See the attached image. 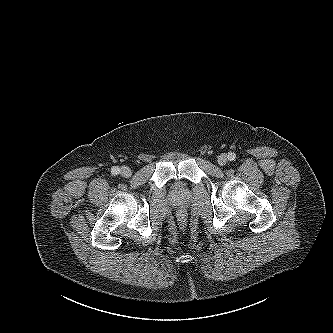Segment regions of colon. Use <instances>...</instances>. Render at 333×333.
<instances>
[{"mask_svg":"<svg viewBox=\"0 0 333 333\" xmlns=\"http://www.w3.org/2000/svg\"><path fill=\"white\" fill-rule=\"evenodd\" d=\"M178 218H179V219H178V220H179V224H180L182 227H184V225H185V223H186V216H185L184 212H180Z\"/></svg>","mask_w":333,"mask_h":333,"instance_id":"5ec220e1","label":"colon"}]
</instances>
